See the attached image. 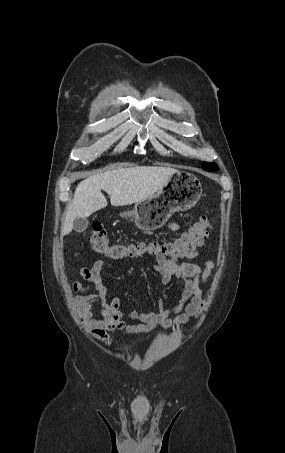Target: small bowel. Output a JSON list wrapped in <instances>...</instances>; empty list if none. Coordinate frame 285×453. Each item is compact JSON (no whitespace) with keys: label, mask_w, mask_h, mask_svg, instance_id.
I'll list each match as a JSON object with an SVG mask.
<instances>
[{"label":"small bowel","mask_w":285,"mask_h":453,"mask_svg":"<svg viewBox=\"0 0 285 453\" xmlns=\"http://www.w3.org/2000/svg\"><path fill=\"white\" fill-rule=\"evenodd\" d=\"M168 227L171 231H177L180 225L172 222ZM197 255L198 252L194 251L188 255L170 259L156 257V263L152 267L159 274L163 285L169 284L174 278L184 281V290L179 303L168 309L165 307L163 299L159 297L156 311H122L118 297L108 300V290L102 280L104 269L102 260H96L90 268H81L80 275L88 281V284L74 282L72 291L77 293L73 304L85 329L96 340L109 344L112 332L124 331L131 335L146 334L158 325L168 328L185 324L191 318H196L205 304L200 284L207 282L214 263L208 260L205 266L201 267L194 263H179L178 261L194 258ZM97 305L98 310L95 309ZM171 316L174 317L171 318ZM128 321H138L139 323L128 324Z\"/></svg>","instance_id":"c3829d8e"}]
</instances>
